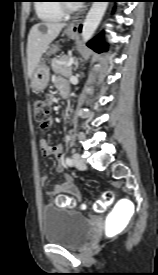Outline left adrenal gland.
<instances>
[{
  "instance_id": "1",
  "label": "left adrenal gland",
  "mask_w": 158,
  "mask_h": 275,
  "mask_svg": "<svg viewBox=\"0 0 158 275\" xmlns=\"http://www.w3.org/2000/svg\"><path fill=\"white\" fill-rule=\"evenodd\" d=\"M74 65H75L74 71H76L78 69V65H79L77 59L74 60Z\"/></svg>"
}]
</instances>
